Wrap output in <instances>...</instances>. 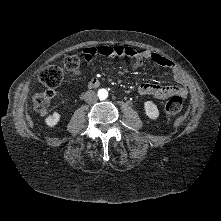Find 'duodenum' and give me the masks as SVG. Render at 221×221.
Instances as JSON below:
<instances>
[{
  "mask_svg": "<svg viewBox=\"0 0 221 221\" xmlns=\"http://www.w3.org/2000/svg\"><path fill=\"white\" fill-rule=\"evenodd\" d=\"M99 84H100L99 80L97 78H93V79L90 80L88 86L90 88H93V87L99 86Z\"/></svg>",
  "mask_w": 221,
  "mask_h": 221,
  "instance_id": "1",
  "label": "duodenum"
}]
</instances>
